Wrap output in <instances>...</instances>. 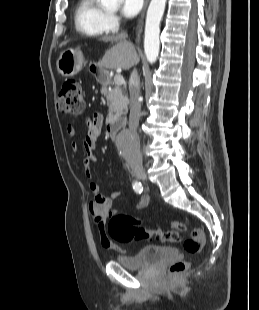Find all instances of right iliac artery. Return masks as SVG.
Listing matches in <instances>:
<instances>
[{"label":"right iliac artery","instance_id":"82829eb1","mask_svg":"<svg viewBox=\"0 0 259 310\" xmlns=\"http://www.w3.org/2000/svg\"><path fill=\"white\" fill-rule=\"evenodd\" d=\"M133 189L135 190V192L140 194L143 191V186L140 182L135 181V182H133Z\"/></svg>","mask_w":259,"mask_h":310}]
</instances>
